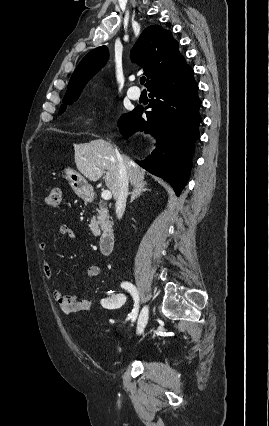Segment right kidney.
I'll use <instances>...</instances> for the list:
<instances>
[{
  "label": "right kidney",
  "mask_w": 269,
  "mask_h": 426,
  "mask_svg": "<svg viewBox=\"0 0 269 426\" xmlns=\"http://www.w3.org/2000/svg\"><path fill=\"white\" fill-rule=\"evenodd\" d=\"M127 296L125 294H118L116 298H107L101 300V309L103 311H119L125 305Z\"/></svg>",
  "instance_id": "right-kidney-1"
}]
</instances>
